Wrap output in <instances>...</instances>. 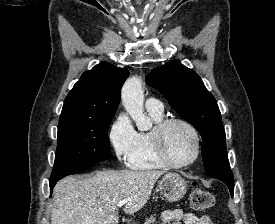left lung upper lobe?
<instances>
[{
    "instance_id": "5c2ea615",
    "label": "left lung upper lobe",
    "mask_w": 275,
    "mask_h": 224,
    "mask_svg": "<svg viewBox=\"0 0 275 224\" xmlns=\"http://www.w3.org/2000/svg\"><path fill=\"white\" fill-rule=\"evenodd\" d=\"M146 82L158 90L172 108L201 134L204 168L213 178L233 180L221 113L200 77L179 61L152 70Z\"/></svg>"
}]
</instances>
